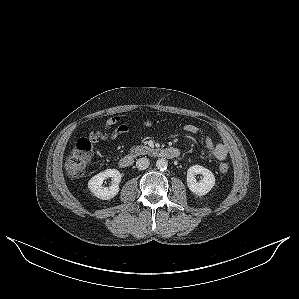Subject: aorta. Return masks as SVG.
Returning a JSON list of instances; mask_svg holds the SVG:
<instances>
[{"label": "aorta", "mask_w": 299, "mask_h": 299, "mask_svg": "<svg viewBox=\"0 0 299 299\" xmlns=\"http://www.w3.org/2000/svg\"><path fill=\"white\" fill-rule=\"evenodd\" d=\"M167 166H168V162H167V160L164 159V158L158 159L157 162H156V167H157L159 170H166V169H167Z\"/></svg>", "instance_id": "aorta-1"}]
</instances>
